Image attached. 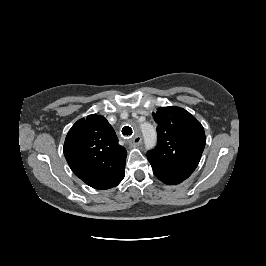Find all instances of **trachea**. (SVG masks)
I'll list each match as a JSON object with an SVG mask.
<instances>
[{
  "mask_svg": "<svg viewBox=\"0 0 266 266\" xmlns=\"http://www.w3.org/2000/svg\"><path fill=\"white\" fill-rule=\"evenodd\" d=\"M132 133H133V130H132L131 127H129V126H125V127H123V129H122V134H123L124 136H130V135H132Z\"/></svg>",
  "mask_w": 266,
  "mask_h": 266,
  "instance_id": "1",
  "label": "trachea"
}]
</instances>
